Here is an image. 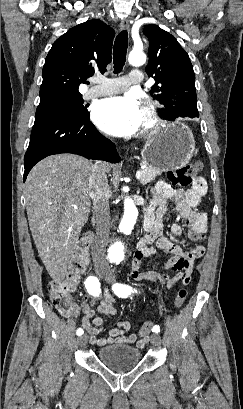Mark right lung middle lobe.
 <instances>
[{
	"instance_id": "dd1d6c3e",
	"label": "right lung middle lobe",
	"mask_w": 243,
	"mask_h": 409,
	"mask_svg": "<svg viewBox=\"0 0 243 409\" xmlns=\"http://www.w3.org/2000/svg\"><path fill=\"white\" fill-rule=\"evenodd\" d=\"M81 95L69 98H53L40 101L36 113L52 112L62 115L85 117L89 115Z\"/></svg>"
}]
</instances>
